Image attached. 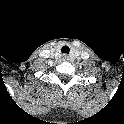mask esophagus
I'll use <instances>...</instances> for the list:
<instances>
[{
  "instance_id": "1",
  "label": "esophagus",
  "mask_w": 124,
  "mask_h": 124,
  "mask_svg": "<svg viewBox=\"0 0 124 124\" xmlns=\"http://www.w3.org/2000/svg\"><path fill=\"white\" fill-rule=\"evenodd\" d=\"M68 59H69L68 55H67V54H64V55H63V60L66 61V60H68Z\"/></svg>"
}]
</instances>
